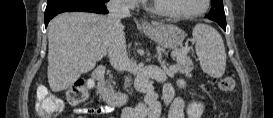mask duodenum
Wrapping results in <instances>:
<instances>
[{"label":"duodenum","mask_w":273,"mask_h":118,"mask_svg":"<svg viewBox=\"0 0 273 118\" xmlns=\"http://www.w3.org/2000/svg\"><path fill=\"white\" fill-rule=\"evenodd\" d=\"M92 79L98 95L107 103L110 108L123 107L129 98V95L121 91H113L105 81V67L99 65L92 72Z\"/></svg>","instance_id":"410a0bca"}]
</instances>
